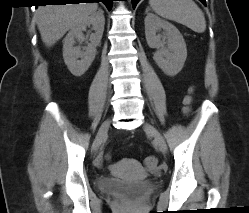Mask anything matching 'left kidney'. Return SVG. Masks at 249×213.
Instances as JSON below:
<instances>
[{"instance_id": "5707ae66", "label": "left kidney", "mask_w": 249, "mask_h": 213, "mask_svg": "<svg viewBox=\"0 0 249 213\" xmlns=\"http://www.w3.org/2000/svg\"><path fill=\"white\" fill-rule=\"evenodd\" d=\"M164 30V36L156 34ZM145 35L150 48H157L153 56L159 68L168 76L177 75L183 68L187 58V48L179 30L168 21L148 13L145 18ZM162 37L167 38L168 49L164 48Z\"/></svg>"}]
</instances>
